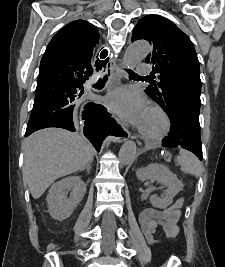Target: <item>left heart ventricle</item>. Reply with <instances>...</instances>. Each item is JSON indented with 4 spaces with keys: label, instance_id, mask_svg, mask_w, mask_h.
Masks as SVG:
<instances>
[{
    "label": "left heart ventricle",
    "instance_id": "obj_1",
    "mask_svg": "<svg viewBox=\"0 0 225 267\" xmlns=\"http://www.w3.org/2000/svg\"><path fill=\"white\" fill-rule=\"evenodd\" d=\"M162 127L163 120L160 115L148 109L140 129L148 134H156L162 129Z\"/></svg>",
    "mask_w": 225,
    "mask_h": 267
}]
</instances>
